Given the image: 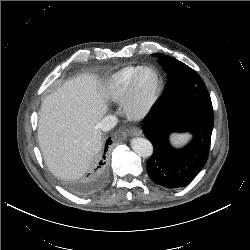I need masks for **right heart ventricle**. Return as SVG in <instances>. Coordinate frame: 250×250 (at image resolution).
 I'll return each mask as SVG.
<instances>
[{
	"instance_id": "1",
	"label": "right heart ventricle",
	"mask_w": 250,
	"mask_h": 250,
	"mask_svg": "<svg viewBox=\"0 0 250 250\" xmlns=\"http://www.w3.org/2000/svg\"><path fill=\"white\" fill-rule=\"evenodd\" d=\"M144 68L142 65H129L118 69L107 77L102 87V95L119 101L127 92L135 76Z\"/></svg>"
}]
</instances>
